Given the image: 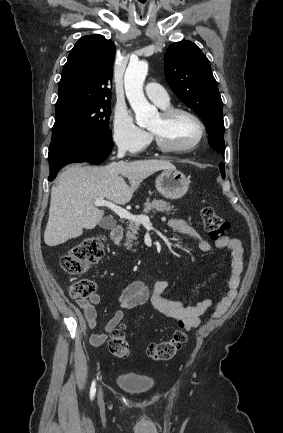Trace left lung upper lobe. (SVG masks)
<instances>
[{
	"mask_svg": "<svg viewBox=\"0 0 283 433\" xmlns=\"http://www.w3.org/2000/svg\"><path fill=\"white\" fill-rule=\"evenodd\" d=\"M164 65L169 86L202 119L210 145L224 155L223 103L209 60L196 44L184 40L168 47Z\"/></svg>",
	"mask_w": 283,
	"mask_h": 433,
	"instance_id": "1",
	"label": "left lung upper lobe"
}]
</instances>
